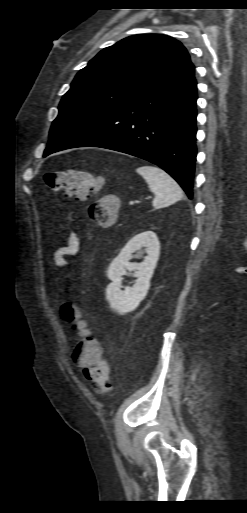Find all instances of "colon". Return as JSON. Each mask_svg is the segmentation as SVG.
Instances as JSON below:
<instances>
[{
	"instance_id": "obj_1",
	"label": "colon",
	"mask_w": 247,
	"mask_h": 513,
	"mask_svg": "<svg viewBox=\"0 0 247 513\" xmlns=\"http://www.w3.org/2000/svg\"><path fill=\"white\" fill-rule=\"evenodd\" d=\"M45 184L61 191L66 199L88 200L92 197L97 180L94 174L85 171L67 169L48 172L44 177ZM117 203L111 195L101 198L100 203L93 202L87 208V217L99 223L102 227L115 224ZM63 318L71 322L78 331L79 340H75L69 348V357L74 361V369L97 393L110 390L108 364L103 359L104 345L101 340H95L87 323L81 318L79 311L70 303L62 306Z\"/></svg>"
}]
</instances>
